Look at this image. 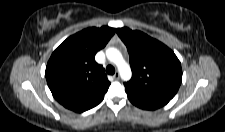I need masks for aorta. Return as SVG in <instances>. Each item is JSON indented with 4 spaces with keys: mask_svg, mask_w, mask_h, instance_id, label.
Here are the masks:
<instances>
[{
    "mask_svg": "<svg viewBox=\"0 0 225 132\" xmlns=\"http://www.w3.org/2000/svg\"><path fill=\"white\" fill-rule=\"evenodd\" d=\"M106 56L109 61H111L117 66L120 77L124 81H128L131 79L132 76L131 68L128 65V63L124 60L121 52L118 49L114 47L107 48Z\"/></svg>",
    "mask_w": 225,
    "mask_h": 132,
    "instance_id": "1",
    "label": "aorta"
}]
</instances>
